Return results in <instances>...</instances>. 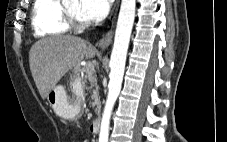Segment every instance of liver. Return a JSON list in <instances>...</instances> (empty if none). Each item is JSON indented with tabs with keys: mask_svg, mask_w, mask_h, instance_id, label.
<instances>
[{
	"mask_svg": "<svg viewBox=\"0 0 227 142\" xmlns=\"http://www.w3.org/2000/svg\"><path fill=\"white\" fill-rule=\"evenodd\" d=\"M95 54L96 49L77 36L55 35L35 42L29 52V64L42 99L69 70Z\"/></svg>",
	"mask_w": 227,
	"mask_h": 142,
	"instance_id": "obj_1",
	"label": "liver"
}]
</instances>
